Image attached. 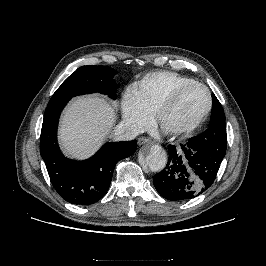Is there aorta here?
Instances as JSON below:
<instances>
[{
    "label": "aorta",
    "instance_id": "1",
    "mask_svg": "<svg viewBox=\"0 0 266 266\" xmlns=\"http://www.w3.org/2000/svg\"><path fill=\"white\" fill-rule=\"evenodd\" d=\"M144 163L153 172L164 169L167 163V154L160 145H152L144 158Z\"/></svg>",
    "mask_w": 266,
    "mask_h": 266
}]
</instances>
